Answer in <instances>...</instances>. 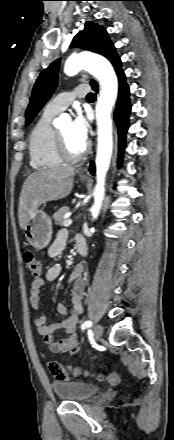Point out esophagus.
Wrapping results in <instances>:
<instances>
[{
	"label": "esophagus",
	"mask_w": 174,
	"mask_h": 440,
	"mask_svg": "<svg viewBox=\"0 0 174 440\" xmlns=\"http://www.w3.org/2000/svg\"><path fill=\"white\" fill-rule=\"evenodd\" d=\"M79 173H80V174H84V175H88V169H87V166H83V165H81V166L79 167Z\"/></svg>",
	"instance_id": "34e87169"
}]
</instances>
